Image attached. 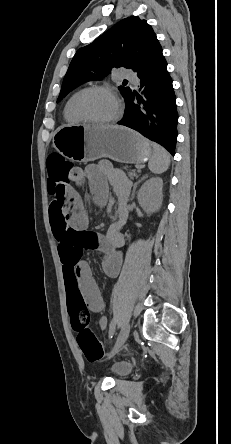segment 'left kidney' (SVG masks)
Listing matches in <instances>:
<instances>
[{
  "mask_svg": "<svg viewBox=\"0 0 231 444\" xmlns=\"http://www.w3.org/2000/svg\"><path fill=\"white\" fill-rule=\"evenodd\" d=\"M163 180L159 177L148 179L138 191V203L151 214L158 211L163 201Z\"/></svg>",
  "mask_w": 231,
  "mask_h": 444,
  "instance_id": "obj_1",
  "label": "left kidney"
}]
</instances>
